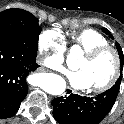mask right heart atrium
Segmentation results:
<instances>
[{
	"label": "right heart atrium",
	"instance_id": "right-heart-atrium-1",
	"mask_svg": "<svg viewBox=\"0 0 124 124\" xmlns=\"http://www.w3.org/2000/svg\"><path fill=\"white\" fill-rule=\"evenodd\" d=\"M36 45L41 63L48 68L61 70L65 60V45L59 32L51 29L42 31Z\"/></svg>",
	"mask_w": 124,
	"mask_h": 124
}]
</instances>
